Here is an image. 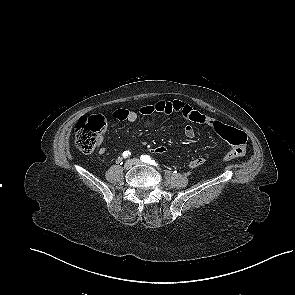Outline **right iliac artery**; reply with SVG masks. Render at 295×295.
<instances>
[{
    "instance_id": "obj_1",
    "label": "right iliac artery",
    "mask_w": 295,
    "mask_h": 295,
    "mask_svg": "<svg viewBox=\"0 0 295 295\" xmlns=\"http://www.w3.org/2000/svg\"><path fill=\"white\" fill-rule=\"evenodd\" d=\"M129 155H130L129 151H124L123 152V157L124 158H127ZM121 161H122V159L119 158L117 162L121 164L122 163Z\"/></svg>"
}]
</instances>
